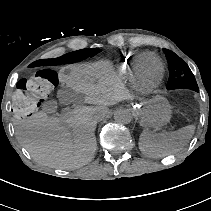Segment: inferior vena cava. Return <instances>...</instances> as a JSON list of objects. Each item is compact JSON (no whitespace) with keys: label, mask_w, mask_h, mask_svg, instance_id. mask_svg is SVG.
Here are the masks:
<instances>
[{"label":"inferior vena cava","mask_w":211,"mask_h":211,"mask_svg":"<svg viewBox=\"0 0 211 211\" xmlns=\"http://www.w3.org/2000/svg\"><path fill=\"white\" fill-rule=\"evenodd\" d=\"M97 121L101 120L100 114L96 115Z\"/></svg>","instance_id":"inferior-vena-cava-1"}]
</instances>
